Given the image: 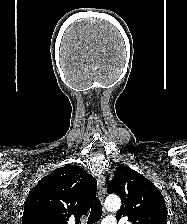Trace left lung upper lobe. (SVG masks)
Masks as SVG:
<instances>
[{
    "label": "left lung upper lobe",
    "mask_w": 187,
    "mask_h": 224,
    "mask_svg": "<svg viewBox=\"0 0 187 224\" xmlns=\"http://www.w3.org/2000/svg\"><path fill=\"white\" fill-rule=\"evenodd\" d=\"M107 192L116 193L122 206L118 220L127 216L132 224H167V208L161 192L143 175L126 166H119L112 181L107 180Z\"/></svg>",
    "instance_id": "obj_1"
}]
</instances>
